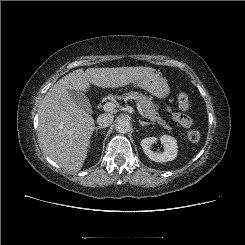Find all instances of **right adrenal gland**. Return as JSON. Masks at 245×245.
<instances>
[{
	"mask_svg": "<svg viewBox=\"0 0 245 245\" xmlns=\"http://www.w3.org/2000/svg\"><path fill=\"white\" fill-rule=\"evenodd\" d=\"M103 128H105V127H102V126L95 127V131H96L95 136H97V131H98L99 129H103Z\"/></svg>",
	"mask_w": 245,
	"mask_h": 245,
	"instance_id": "right-adrenal-gland-1",
	"label": "right adrenal gland"
}]
</instances>
